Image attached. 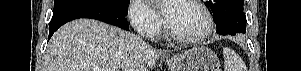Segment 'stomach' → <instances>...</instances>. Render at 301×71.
<instances>
[{
	"mask_svg": "<svg viewBox=\"0 0 301 71\" xmlns=\"http://www.w3.org/2000/svg\"><path fill=\"white\" fill-rule=\"evenodd\" d=\"M172 71H220L216 54L207 47H196L167 60Z\"/></svg>",
	"mask_w": 301,
	"mask_h": 71,
	"instance_id": "1",
	"label": "stomach"
}]
</instances>
